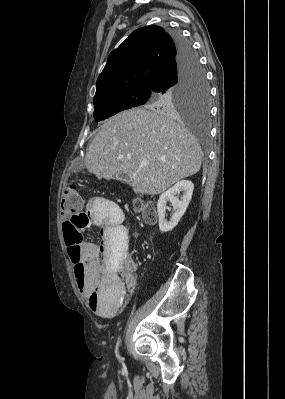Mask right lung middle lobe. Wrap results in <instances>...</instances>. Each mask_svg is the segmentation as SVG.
Instances as JSON below:
<instances>
[{
	"mask_svg": "<svg viewBox=\"0 0 285 399\" xmlns=\"http://www.w3.org/2000/svg\"><path fill=\"white\" fill-rule=\"evenodd\" d=\"M94 119L101 121L123 110L145 105L152 109L175 113L180 111L206 123L210 113V94L205 73L197 60L180 81L164 92L131 89L94 99Z\"/></svg>",
	"mask_w": 285,
	"mask_h": 399,
	"instance_id": "right-lung-middle-lobe-1",
	"label": "right lung middle lobe"
}]
</instances>
